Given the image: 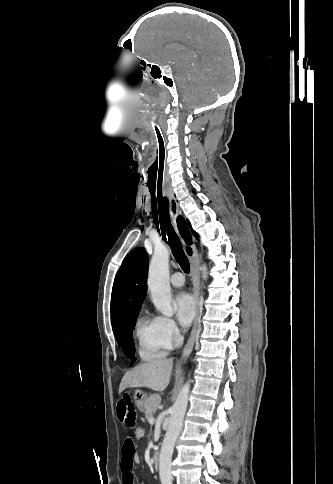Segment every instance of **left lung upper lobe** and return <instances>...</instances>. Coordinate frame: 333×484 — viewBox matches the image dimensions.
<instances>
[{
  "mask_svg": "<svg viewBox=\"0 0 333 484\" xmlns=\"http://www.w3.org/2000/svg\"><path fill=\"white\" fill-rule=\"evenodd\" d=\"M192 232H193L194 236L198 239V237H199L198 234L196 232H194L193 230H192Z\"/></svg>",
  "mask_w": 333,
  "mask_h": 484,
  "instance_id": "left-lung-upper-lobe-1",
  "label": "left lung upper lobe"
}]
</instances>
